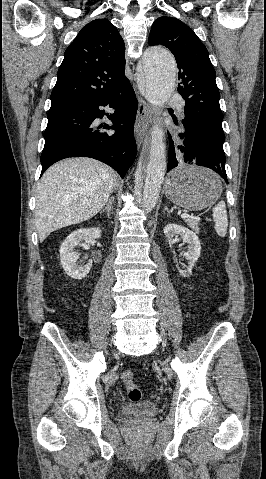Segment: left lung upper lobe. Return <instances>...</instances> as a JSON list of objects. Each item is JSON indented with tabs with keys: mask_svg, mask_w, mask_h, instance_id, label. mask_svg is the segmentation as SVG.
<instances>
[{
	"mask_svg": "<svg viewBox=\"0 0 266 479\" xmlns=\"http://www.w3.org/2000/svg\"><path fill=\"white\" fill-rule=\"evenodd\" d=\"M148 42L167 47L175 56L178 91L186 101L183 128L205 148L209 160L225 159L220 93L207 48L190 27L167 16L155 20Z\"/></svg>",
	"mask_w": 266,
	"mask_h": 479,
	"instance_id": "1",
	"label": "left lung upper lobe"
}]
</instances>
